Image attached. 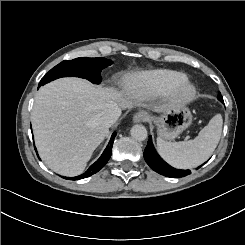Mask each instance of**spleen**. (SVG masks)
Returning <instances> with one entry per match:
<instances>
[{
	"label": "spleen",
	"mask_w": 245,
	"mask_h": 245,
	"mask_svg": "<svg viewBox=\"0 0 245 245\" xmlns=\"http://www.w3.org/2000/svg\"><path fill=\"white\" fill-rule=\"evenodd\" d=\"M223 119L215 115L196 138L183 142H166L157 138V149L161 157L179 169H191L204 163L216 149L221 133Z\"/></svg>",
	"instance_id": "1"
}]
</instances>
